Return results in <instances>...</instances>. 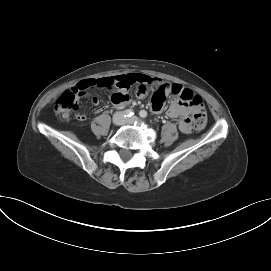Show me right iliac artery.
Returning <instances> with one entry per match:
<instances>
[{
    "label": "right iliac artery",
    "instance_id": "1",
    "mask_svg": "<svg viewBox=\"0 0 271 271\" xmlns=\"http://www.w3.org/2000/svg\"><path fill=\"white\" fill-rule=\"evenodd\" d=\"M123 114H124V117H131L134 114V112L132 109H127L124 111Z\"/></svg>",
    "mask_w": 271,
    "mask_h": 271
}]
</instances>
